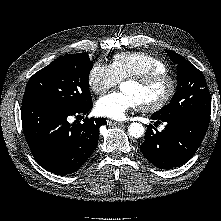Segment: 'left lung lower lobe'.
<instances>
[{
	"label": "left lung lower lobe",
	"instance_id": "obj_1",
	"mask_svg": "<svg viewBox=\"0 0 221 221\" xmlns=\"http://www.w3.org/2000/svg\"><path fill=\"white\" fill-rule=\"evenodd\" d=\"M152 119L157 123L166 122L165 129L155 132L154 127L148 126L140 151L157 168L172 169L195 154L206 134L210 116L159 118L153 114Z\"/></svg>",
	"mask_w": 221,
	"mask_h": 221
}]
</instances>
